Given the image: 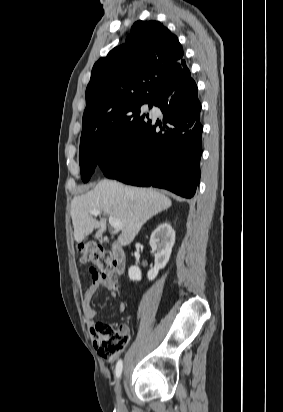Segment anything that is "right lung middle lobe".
Here are the masks:
<instances>
[{"label": "right lung middle lobe", "instance_id": "right-lung-middle-lobe-1", "mask_svg": "<svg viewBox=\"0 0 283 412\" xmlns=\"http://www.w3.org/2000/svg\"><path fill=\"white\" fill-rule=\"evenodd\" d=\"M154 104L149 103V108ZM141 106L131 109L120 122L106 132L93 134L80 140V172L87 182L97 165L103 167L127 154L134 141L150 122L149 114L141 112Z\"/></svg>", "mask_w": 283, "mask_h": 412}]
</instances>
